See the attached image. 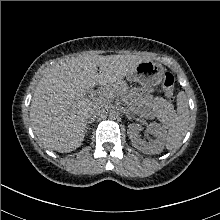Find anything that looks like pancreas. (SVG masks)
I'll use <instances>...</instances> for the list:
<instances>
[{
  "mask_svg": "<svg viewBox=\"0 0 220 220\" xmlns=\"http://www.w3.org/2000/svg\"><path fill=\"white\" fill-rule=\"evenodd\" d=\"M127 88L125 85H121V87L117 90V92L109 91L108 93L104 94L105 101H109L115 96V93H122L126 92ZM154 109L158 115V118L161 119L163 122L170 121L173 115V105L169 103L167 100L160 98L154 101Z\"/></svg>",
  "mask_w": 220,
  "mask_h": 220,
  "instance_id": "cf45deb5",
  "label": "pancreas"
}]
</instances>
